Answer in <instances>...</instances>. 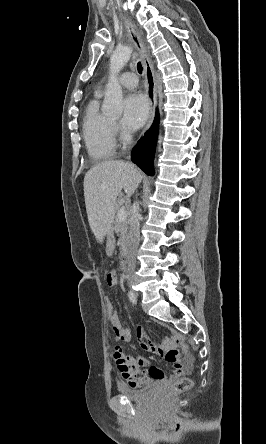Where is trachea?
I'll use <instances>...</instances> for the list:
<instances>
[{
  "label": "trachea",
  "mask_w": 266,
  "mask_h": 444,
  "mask_svg": "<svg viewBox=\"0 0 266 444\" xmlns=\"http://www.w3.org/2000/svg\"><path fill=\"white\" fill-rule=\"evenodd\" d=\"M137 70H138V72H139L140 74H142L143 67H142L141 62H138V63H137Z\"/></svg>",
  "instance_id": "1"
}]
</instances>
